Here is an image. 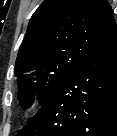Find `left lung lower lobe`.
<instances>
[{
  "label": "left lung lower lobe",
  "mask_w": 117,
  "mask_h": 136,
  "mask_svg": "<svg viewBox=\"0 0 117 136\" xmlns=\"http://www.w3.org/2000/svg\"><path fill=\"white\" fill-rule=\"evenodd\" d=\"M16 136H117V27Z\"/></svg>",
  "instance_id": "1"
}]
</instances>
